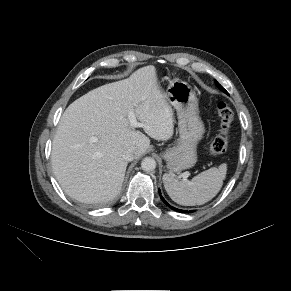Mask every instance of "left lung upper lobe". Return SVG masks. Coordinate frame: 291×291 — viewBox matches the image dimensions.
<instances>
[{
    "mask_svg": "<svg viewBox=\"0 0 291 291\" xmlns=\"http://www.w3.org/2000/svg\"><path fill=\"white\" fill-rule=\"evenodd\" d=\"M215 84L217 85V87L222 90L223 92L227 93V91L215 80Z\"/></svg>",
    "mask_w": 291,
    "mask_h": 291,
    "instance_id": "5c2ea615",
    "label": "left lung upper lobe"
}]
</instances>
